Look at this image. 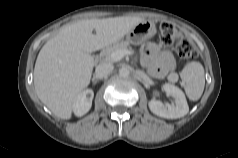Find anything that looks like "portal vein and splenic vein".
Masks as SVG:
<instances>
[{
	"mask_svg": "<svg viewBox=\"0 0 238 158\" xmlns=\"http://www.w3.org/2000/svg\"><path fill=\"white\" fill-rule=\"evenodd\" d=\"M129 50H117L111 54V57L114 61L121 60L124 56L131 54Z\"/></svg>",
	"mask_w": 238,
	"mask_h": 158,
	"instance_id": "portal-vein-and-splenic-vein-1",
	"label": "portal vein and splenic vein"
}]
</instances>
